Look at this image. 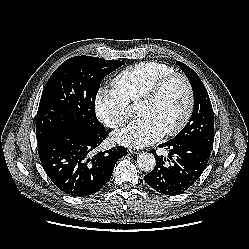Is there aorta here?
<instances>
[{
    "instance_id": "762f6f07",
    "label": "aorta",
    "mask_w": 249,
    "mask_h": 249,
    "mask_svg": "<svg viewBox=\"0 0 249 249\" xmlns=\"http://www.w3.org/2000/svg\"><path fill=\"white\" fill-rule=\"evenodd\" d=\"M137 164L142 171L150 172L156 165V160L153 154L143 152L137 157Z\"/></svg>"
}]
</instances>
